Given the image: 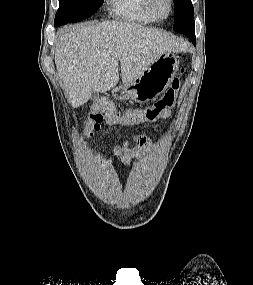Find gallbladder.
<instances>
[{
	"label": "gallbladder",
	"instance_id": "gallbladder-1",
	"mask_svg": "<svg viewBox=\"0 0 253 285\" xmlns=\"http://www.w3.org/2000/svg\"><path fill=\"white\" fill-rule=\"evenodd\" d=\"M97 96H98L97 93L95 91H92L91 98L94 99V98H97Z\"/></svg>",
	"mask_w": 253,
	"mask_h": 285
}]
</instances>
